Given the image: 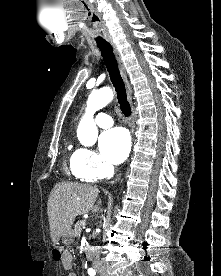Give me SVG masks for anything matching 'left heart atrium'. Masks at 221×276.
Segmentation results:
<instances>
[{
    "instance_id": "obj_1",
    "label": "left heart atrium",
    "mask_w": 221,
    "mask_h": 276,
    "mask_svg": "<svg viewBox=\"0 0 221 276\" xmlns=\"http://www.w3.org/2000/svg\"><path fill=\"white\" fill-rule=\"evenodd\" d=\"M103 157L112 164L122 163L130 151V138L123 128H114L104 132L99 139Z\"/></svg>"
}]
</instances>
